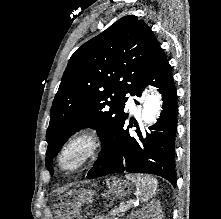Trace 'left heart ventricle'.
I'll return each mask as SVG.
<instances>
[{"label":"left heart ventricle","mask_w":221,"mask_h":219,"mask_svg":"<svg viewBox=\"0 0 221 219\" xmlns=\"http://www.w3.org/2000/svg\"><path fill=\"white\" fill-rule=\"evenodd\" d=\"M83 148L81 146H77L73 148L70 153L64 159V166L66 168L74 167L83 154Z\"/></svg>","instance_id":"1"}]
</instances>
